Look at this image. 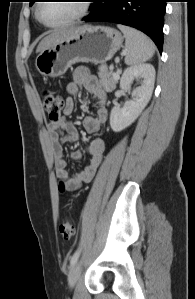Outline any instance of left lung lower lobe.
Instances as JSON below:
<instances>
[{"label": "left lung lower lobe", "instance_id": "0a47b994", "mask_svg": "<svg viewBox=\"0 0 195 299\" xmlns=\"http://www.w3.org/2000/svg\"><path fill=\"white\" fill-rule=\"evenodd\" d=\"M84 21H107L134 27L148 35L159 51L167 0H94Z\"/></svg>", "mask_w": 195, "mask_h": 299}]
</instances>
